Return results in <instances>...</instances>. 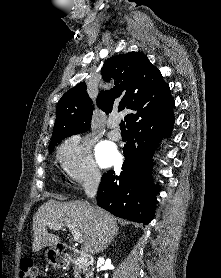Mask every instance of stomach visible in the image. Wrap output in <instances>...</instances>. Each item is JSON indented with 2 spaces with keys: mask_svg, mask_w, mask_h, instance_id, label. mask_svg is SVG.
I'll list each match as a JSON object with an SVG mask.
<instances>
[{
  "mask_svg": "<svg viewBox=\"0 0 221 278\" xmlns=\"http://www.w3.org/2000/svg\"><path fill=\"white\" fill-rule=\"evenodd\" d=\"M46 259L53 267L58 268L64 265L62 256L54 248H50L46 251Z\"/></svg>",
  "mask_w": 221,
  "mask_h": 278,
  "instance_id": "obj_1",
  "label": "stomach"
}]
</instances>
